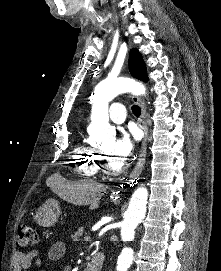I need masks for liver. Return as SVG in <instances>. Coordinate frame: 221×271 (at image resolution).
<instances>
[{
	"label": "liver",
	"mask_w": 221,
	"mask_h": 271,
	"mask_svg": "<svg viewBox=\"0 0 221 271\" xmlns=\"http://www.w3.org/2000/svg\"><path fill=\"white\" fill-rule=\"evenodd\" d=\"M53 185H61L62 191L59 193L61 199L74 203V205H90L91 203V207L99 205L97 191H105L104 185L94 183L93 179H79L76 183H69L59 173L55 177Z\"/></svg>",
	"instance_id": "liver-1"
}]
</instances>
